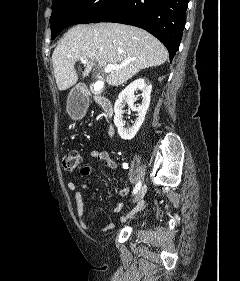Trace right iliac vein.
<instances>
[{"label": "right iliac vein", "instance_id": "1", "mask_svg": "<svg viewBox=\"0 0 240 281\" xmlns=\"http://www.w3.org/2000/svg\"><path fill=\"white\" fill-rule=\"evenodd\" d=\"M146 191H147V187H146V185H144V186L139 190V192H137V194H136V196H135V198H134V202H137V201L141 200V199L145 196Z\"/></svg>", "mask_w": 240, "mask_h": 281}]
</instances>
